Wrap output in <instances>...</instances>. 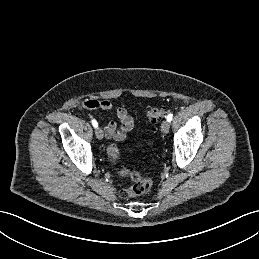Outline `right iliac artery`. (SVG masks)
<instances>
[{
	"label": "right iliac artery",
	"instance_id": "right-iliac-artery-1",
	"mask_svg": "<svg viewBox=\"0 0 259 259\" xmlns=\"http://www.w3.org/2000/svg\"><path fill=\"white\" fill-rule=\"evenodd\" d=\"M91 123H92L93 127H95V128L98 127V123L96 120L93 119Z\"/></svg>",
	"mask_w": 259,
	"mask_h": 259
}]
</instances>
